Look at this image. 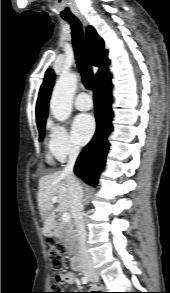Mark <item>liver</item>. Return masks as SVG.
<instances>
[{
	"instance_id": "liver-1",
	"label": "liver",
	"mask_w": 170,
	"mask_h": 293,
	"mask_svg": "<svg viewBox=\"0 0 170 293\" xmlns=\"http://www.w3.org/2000/svg\"><path fill=\"white\" fill-rule=\"evenodd\" d=\"M53 197L58 199V210L60 212H70L72 214L68 182L62 172L45 175L39 180L37 200L45 234H48L56 227V214L51 201Z\"/></svg>"
}]
</instances>
